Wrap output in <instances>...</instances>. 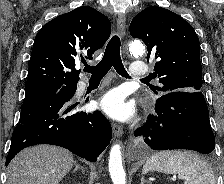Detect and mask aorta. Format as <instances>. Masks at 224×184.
<instances>
[{
    "label": "aorta",
    "mask_w": 224,
    "mask_h": 184,
    "mask_svg": "<svg viewBox=\"0 0 224 184\" xmlns=\"http://www.w3.org/2000/svg\"><path fill=\"white\" fill-rule=\"evenodd\" d=\"M129 51L133 55H141L144 52L143 44L134 40L129 43ZM109 172L113 184H126V174L122 166L121 147L113 145L109 156Z\"/></svg>",
    "instance_id": "762f6f07"
}]
</instances>
